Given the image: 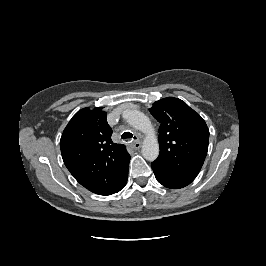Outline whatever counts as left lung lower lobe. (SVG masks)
Masks as SVG:
<instances>
[{
  "instance_id": "1",
  "label": "left lung lower lobe",
  "mask_w": 266,
  "mask_h": 266,
  "mask_svg": "<svg viewBox=\"0 0 266 266\" xmlns=\"http://www.w3.org/2000/svg\"><path fill=\"white\" fill-rule=\"evenodd\" d=\"M156 179L158 180V182L160 184H162L165 187L171 188V189H179V188H182V187L186 186V185H182V184L173 183V182L161 179L159 177H156Z\"/></svg>"
}]
</instances>
